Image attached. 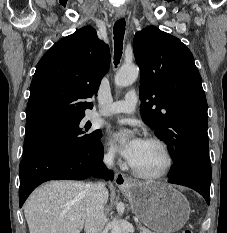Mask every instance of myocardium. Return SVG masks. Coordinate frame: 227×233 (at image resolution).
I'll return each instance as SVG.
<instances>
[{"mask_svg": "<svg viewBox=\"0 0 227 233\" xmlns=\"http://www.w3.org/2000/svg\"><path fill=\"white\" fill-rule=\"evenodd\" d=\"M145 141L149 142V143L156 144L162 149V151L164 152L165 157H166L165 167L157 173H146V172L138 170L131 163H129L130 170L137 177L143 178V179H148V180L160 179V178L167 176L170 173V171L172 170L173 165H174V158H173V155H172V152H171L169 146L163 140L156 138V137H149Z\"/></svg>", "mask_w": 227, "mask_h": 233, "instance_id": "obj_1", "label": "myocardium"}]
</instances>
